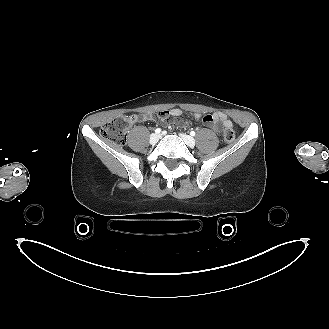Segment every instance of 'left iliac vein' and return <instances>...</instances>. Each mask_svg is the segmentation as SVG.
I'll use <instances>...</instances> for the list:
<instances>
[{"instance_id": "4c4485c4", "label": "left iliac vein", "mask_w": 329, "mask_h": 329, "mask_svg": "<svg viewBox=\"0 0 329 329\" xmlns=\"http://www.w3.org/2000/svg\"><path fill=\"white\" fill-rule=\"evenodd\" d=\"M180 136L189 147L195 146V139L193 137L186 134H181Z\"/></svg>"}]
</instances>
